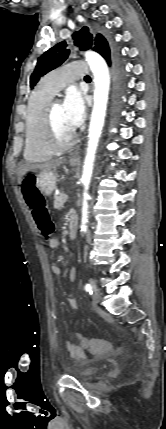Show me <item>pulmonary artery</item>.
<instances>
[{"label": "pulmonary artery", "instance_id": "pulmonary-artery-1", "mask_svg": "<svg viewBox=\"0 0 166 429\" xmlns=\"http://www.w3.org/2000/svg\"><path fill=\"white\" fill-rule=\"evenodd\" d=\"M88 73V64L83 61L70 62L49 73L40 83V87L55 95L69 82L81 79Z\"/></svg>", "mask_w": 166, "mask_h": 429}]
</instances>
